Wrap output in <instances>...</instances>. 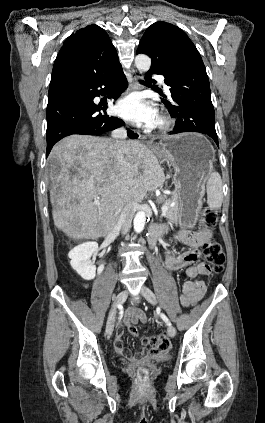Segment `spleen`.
<instances>
[{"label":"spleen","mask_w":265,"mask_h":423,"mask_svg":"<svg viewBox=\"0 0 265 423\" xmlns=\"http://www.w3.org/2000/svg\"><path fill=\"white\" fill-rule=\"evenodd\" d=\"M208 206L215 210L220 209L223 201L222 180L219 173H212L206 184Z\"/></svg>","instance_id":"spleen-1"}]
</instances>
